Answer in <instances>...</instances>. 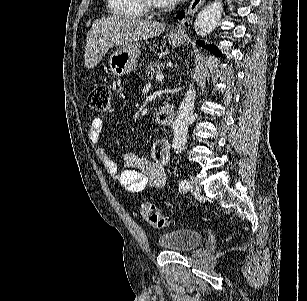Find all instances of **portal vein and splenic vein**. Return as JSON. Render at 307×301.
<instances>
[{"instance_id":"portal-vein-and-splenic-vein-1","label":"portal vein and splenic vein","mask_w":307,"mask_h":301,"mask_svg":"<svg viewBox=\"0 0 307 301\" xmlns=\"http://www.w3.org/2000/svg\"><path fill=\"white\" fill-rule=\"evenodd\" d=\"M164 74H156V80H163Z\"/></svg>"}]
</instances>
